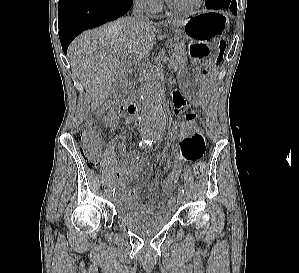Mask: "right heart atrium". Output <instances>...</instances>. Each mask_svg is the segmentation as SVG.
Masks as SVG:
<instances>
[{"mask_svg": "<svg viewBox=\"0 0 299 273\" xmlns=\"http://www.w3.org/2000/svg\"><path fill=\"white\" fill-rule=\"evenodd\" d=\"M160 0H135L136 4L146 10H153L155 9Z\"/></svg>", "mask_w": 299, "mask_h": 273, "instance_id": "d8ad5b80", "label": "right heart atrium"}]
</instances>
